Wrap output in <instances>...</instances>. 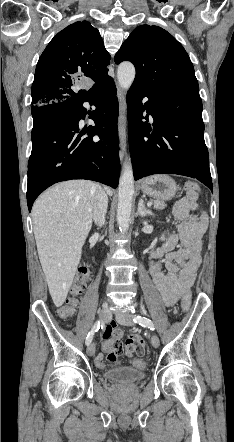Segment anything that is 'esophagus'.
<instances>
[{
  "label": "esophagus",
  "mask_w": 234,
  "mask_h": 442,
  "mask_svg": "<svg viewBox=\"0 0 234 442\" xmlns=\"http://www.w3.org/2000/svg\"><path fill=\"white\" fill-rule=\"evenodd\" d=\"M117 97L119 101L118 134L121 147L120 158L123 160L126 152V117L123 91L118 84Z\"/></svg>",
  "instance_id": "34e87169"
}]
</instances>
